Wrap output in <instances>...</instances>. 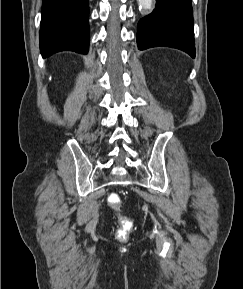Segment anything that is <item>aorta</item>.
Returning a JSON list of instances; mask_svg holds the SVG:
<instances>
[{
  "label": "aorta",
  "instance_id": "1",
  "mask_svg": "<svg viewBox=\"0 0 243 289\" xmlns=\"http://www.w3.org/2000/svg\"><path fill=\"white\" fill-rule=\"evenodd\" d=\"M141 9L149 10L152 7L153 0H137Z\"/></svg>",
  "mask_w": 243,
  "mask_h": 289
}]
</instances>
